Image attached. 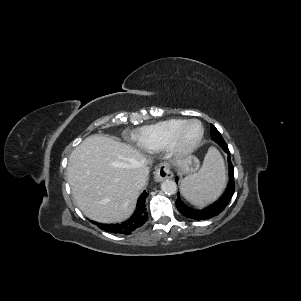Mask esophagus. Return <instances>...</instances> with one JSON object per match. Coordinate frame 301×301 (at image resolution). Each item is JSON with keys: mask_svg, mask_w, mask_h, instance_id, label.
Here are the masks:
<instances>
[{"mask_svg": "<svg viewBox=\"0 0 301 301\" xmlns=\"http://www.w3.org/2000/svg\"><path fill=\"white\" fill-rule=\"evenodd\" d=\"M173 173L170 166L167 163H161L157 166L154 172V178L157 182H161L164 179L172 178Z\"/></svg>", "mask_w": 301, "mask_h": 301, "instance_id": "esophagus-1", "label": "esophagus"}]
</instances>
